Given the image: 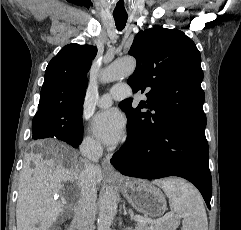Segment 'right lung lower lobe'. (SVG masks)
I'll use <instances>...</instances> for the list:
<instances>
[{
  "label": "right lung lower lobe",
  "mask_w": 241,
  "mask_h": 230,
  "mask_svg": "<svg viewBox=\"0 0 241 230\" xmlns=\"http://www.w3.org/2000/svg\"><path fill=\"white\" fill-rule=\"evenodd\" d=\"M55 134H52V136H54ZM68 144H70L71 146H73L74 148H77L80 144V143H73V142H69Z\"/></svg>",
  "instance_id": "obj_1"
}]
</instances>
